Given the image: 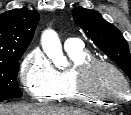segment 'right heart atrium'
Masks as SVG:
<instances>
[{
	"label": "right heart atrium",
	"mask_w": 131,
	"mask_h": 115,
	"mask_svg": "<svg viewBox=\"0 0 131 115\" xmlns=\"http://www.w3.org/2000/svg\"><path fill=\"white\" fill-rule=\"evenodd\" d=\"M20 80L25 91L42 102L52 100L60 88L58 72L39 48L30 50L24 56Z\"/></svg>",
	"instance_id": "right-heart-atrium-1"
}]
</instances>
